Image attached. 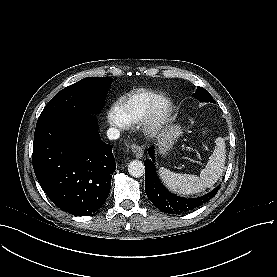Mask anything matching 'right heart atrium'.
<instances>
[{"mask_svg":"<svg viewBox=\"0 0 277 277\" xmlns=\"http://www.w3.org/2000/svg\"><path fill=\"white\" fill-rule=\"evenodd\" d=\"M108 121L114 127H124V120L116 107H112L108 113Z\"/></svg>","mask_w":277,"mask_h":277,"instance_id":"right-heart-atrium-1","label":"right heart atrium"}]
</instances>
